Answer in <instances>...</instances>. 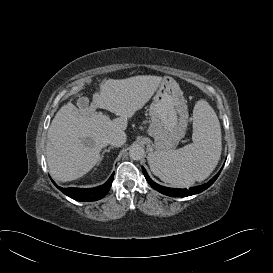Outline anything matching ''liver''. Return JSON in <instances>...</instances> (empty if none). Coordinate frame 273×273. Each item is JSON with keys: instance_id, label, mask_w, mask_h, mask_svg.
<instances>
[{"instance_id": "1", "label": "liver", "mask_w": 273, "mask_h": 273, "mask_svg": "<svg viewBox=\"0 0 273 273\" xmlns=\"http://www.w3.org/2000/svg\"><path fill=\"white\" fill-rule=\"evenodd\" d=\"M163 78L139 75L126 79H108L93 95L89 107L63 105L53 118L47 133L46 156L50 173L67 182L82 177L100 160L108 135L127 128V118L150 100ZM106 109L119 117L111 120L96 112Z\"/></svg>"}]
</instances>
